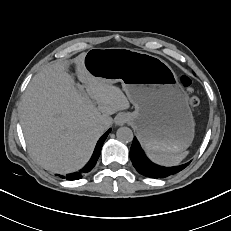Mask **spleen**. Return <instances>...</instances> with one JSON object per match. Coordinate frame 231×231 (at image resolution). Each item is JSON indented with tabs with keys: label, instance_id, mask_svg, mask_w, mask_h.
<instances>
[{
	"label": "spleen",
	"instance_id": "3e777b00",
	"mask_svg": "<svg viewBox=\"0 0 231 231\" xmlns=\"http://www.w3.org/2000/svg\"><path fill=\"white\" fill-rule=\"evenodd\" d=\"M188 152H181L179 154H160V153H153L148 151L149 158L160 165L163 166H176L178 165L186 156Z\"/></svg>",
	"mask_w": 231,
	"mask_h": 231
}]
</instances>
